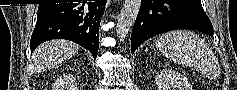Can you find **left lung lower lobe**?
Segmentation results:
<instances>
[{
  "label": "left lung lower lobe",
  "mask_w": 237,
  "mask_h": 90,
  "mask_svg": "<svg viewBox=\"0 0 237 90\" xmlns=\"http://www.w3.org/2000/svg\"><path fill=\"white\" fill-rule=\"evenodd\" d=\"M174 29H192L213 36L200 0H143L131 35V51L145 40Z\"/></svg>",
  "instance_id": "1"
}]
</instances>
